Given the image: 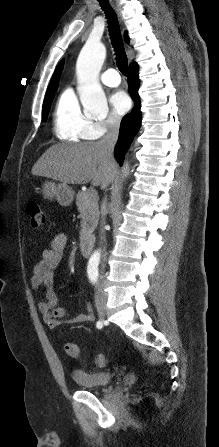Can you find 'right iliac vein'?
I'll return each mask as SVG.
<instances>
[{"mask_svg":"<svg viewBox=\"0 0 219 447\" xmlns=\"http://www.w3.org/2000/svg\"><path fill=\"white\" fill-rule=\"evenodd\" d=\"M105 312H106V310L103 306L98 307V314H99L100 318H104Z\"/></svg>","mask_w":219,"mask_h":447,"instance_id":"obj_1","label":"right iliac vein"}]
</instances>
